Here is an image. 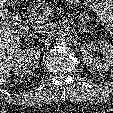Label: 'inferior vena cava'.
<instances>
[{
    "label": "inferior vena cava",
    "instance_id": "obj_1",
    "mask_svg": "<svg viewBox=\"0 0 113 113\" xmlns=\"http://www.w3.org/2000/svg\"><path fill=\"white\" fill-rule=\"evenodd\" d=\"M51 28L50 24H41L36 26L34 29L35 33L43 34L46 33Z\"/></svg>",
    "mask_w": 113,
    "mask_h": 113
}]
</instances>
